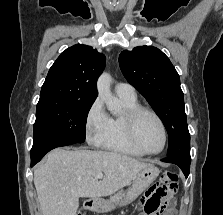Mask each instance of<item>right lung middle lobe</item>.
<instances>
[{"label": "right lung middle lobe", "instance_id": "dd1d6c3e", "mask_svg": "<svg viewBox=\"0 0 223 215\" xmlns=\"http://www.w3.org/2000/svg\"><path fill=\"white\" fill-rule=\"evenodd\" d=\"M93 102L40 98L36 108L31 152L72 143H83L86 120Z\"/></svg>", "mask_w": 223, "mask_h": 215}]
</instances>
